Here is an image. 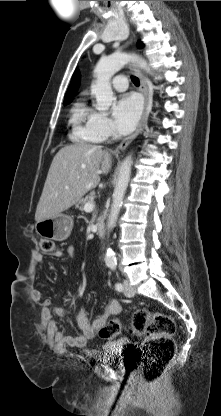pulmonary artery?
I'll use <instances>...</instances> for the list:
<instances>
[{"instance_id": "e3ab8cb5", "label": "pulmonary artery", "mask_w": 221, "mask_h": 416, "mask_svg": "<svg viewBox=\"0 0 221 416\" xmlns=\"http://www.w3.org/2000/svg\"><path fill=\"white\" fill-rule=\"evenodd\" d=\"M128 81L125 76H116L112 82L111 86L115 91L123 92L127 89Z\"/></svg>"}]
</instances>
